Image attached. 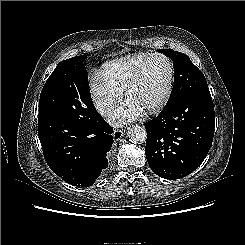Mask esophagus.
<instances>
[{
  "instance_id": "34e87169",
  "label": "esophagus",
  "mask_w": 245,
  "mask_h": 245,
  "mask_svg": "<svg viewBox=\"0 0 245 245\" xmlns=\"http://www.w3.org/2000/svg\"><path fill=\"white\" fill-rule=\"evenodd\" d=\"M124 136V131L120 129H116L113 132V138L115 141L120 140Z\"/></svg>"
}]
</instances>
